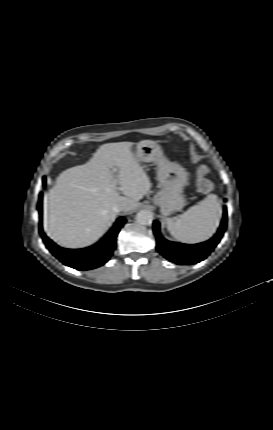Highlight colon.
Listing matches in <instances>:
<instances>
[{"label": "colon", "mask_w": 273, "mask_h": 430, "mask_svg": "<svg viewBox=\"0 0 273 430\" xmlns=\"http://www.w3.org/2000/svg\"><path fill=\"white\" fill-rule=\"evenodd\" d=\"M209 169L206 166H200L196 172L195 183L197 190L202 194H209L214 186L208 178Z\"/></svg>", "instance_id": "5ec220e1"}]
</instances>
